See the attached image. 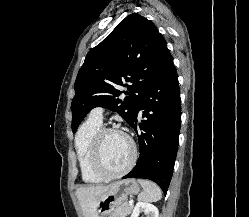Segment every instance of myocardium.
I'll list each match as a JSON object with an SVG mask.
<instances>
[{"label":"myocardium","instance_id":"f54148a6","mask_svg":"<svg viewBox=\"0 0 249 217\" xmlns=\"http://www.w3.org/2000/svg\"><path fill=\"white\" fill-rule=\"evenodd\" d=\"M108 133H119L123 135L129 142L131 148V157L128 164L122 170L117 172L108 171L102 163V158H101L102 140L104 136ZM136 159H137L136 144L134 140L124 131L114 127H101L95 134L91 145V166L94 172L103 179L110 180L124 176L133 168Z\"/></svg>","mask_w":249,"mask_h":217}]
</instances>
